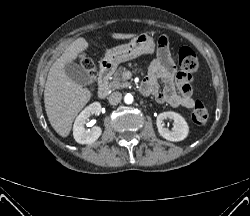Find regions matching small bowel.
Listing matches in <instances>:
<instances>
[{
	"instance_id": "c3829d8e",
	"label": "small bowel",
	"mask_w": 250,
	"mask_h": 216,
	"mask_svg": "<svg viewBox=\"0 0 250 216\" xmlns=\"http://www.w3.org/2000/svg\"><path fill=\"white\" fill-rule=\"evenodd\" d=\"M164 43L165 40L162 39ZM163 88H159V84ZM141 90L147 95H153L161 104L172 107L191 109L195 106L192 97L191 76L176 72L165 48H162L157 58L151 63L149 73L141 85Z\"/></svg>"
}]
</instances>
